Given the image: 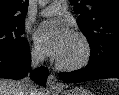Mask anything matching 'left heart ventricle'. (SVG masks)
<instances>
[{"instance_id": "1", "label": "left heart ventricle", "mask_w": 119, "mask_h": 95, "mask_svg": "<svg viewBox=\"0 0 119 95\" xmlns=\"http://www.w3.org/2000/svg\"><path fill=\"white\" fill-rule=\"evenodd\" d=\"M82 55V45L81 43L73 36L70 41L65 53L59 59V61L64 63H71L78 60Z\"/></svg>"}]
</instances>
